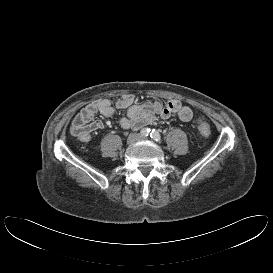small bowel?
I'll return each instance as SVG.
<instances>
[{
  "mask_svg": "<svg viewBox=\"0 0 273 273\" xmlns=\"http://www.w3.org/2000/svg\"><path fill=\"white\" fill-rule=\"evenodd\" d=\"M116 109H127V115L118 119L124 129H138L153 123L158 117L168 118L176 115L181 121L187 122L193 116L190 107L178 100L136 104L131 95H125L115 103L108 99H100L85 106L73 119L70 132L81 142H89L94 131L105 127V124L95 119V116L99 113L105 117H113Z\"/></svg>",
  "mask_w": 273,
  "mask_h": 273,
  "instance_id": "c3829d8e",
  "label": "small bowel"
}]
</instances>
